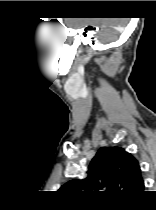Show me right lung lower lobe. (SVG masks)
Wrapping results in <instances>:
<instances>
[{
  "label": "right lung lower lobe",
  "mask_w": 156,
  "mask_h": 210,
  "mask_svg": "<svg viewBox=\"0 0 156 210\" xmlns=\"http://www.w3.org/2000/svg\"><path fill=\"white\" fill-rule=\"evenodd\" d=\"M139 195H140V194H139ZM139 195H138V196H136L134 199L138 198V197H139ZM134 199H132V200H134Z\"/></svg>",
  "instance_id": "obj_1"
}]
</instances>
